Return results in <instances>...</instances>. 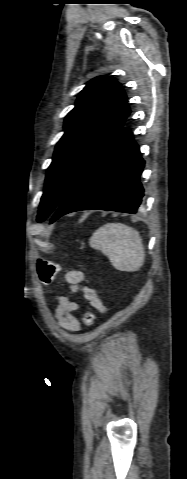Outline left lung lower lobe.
Instances as JSON below:
<instances>
[{"label":"left lung lower lobe","instance_id":"left-lung-lower-lobe-1","mask_svg":"<svg viewBox=\"0 0 187 479\" xmlns=\"http://www.w3.org/2000/svg\"><path fill=\"white\" fill-rule=\"evenodd\" d=\"M144 160L129 128L82 175L54 211L51 223L80 210H108L135 214L144 190L140 183Z\"/></svg>","mask_w":187,"mask_h":479}]
</instances>
